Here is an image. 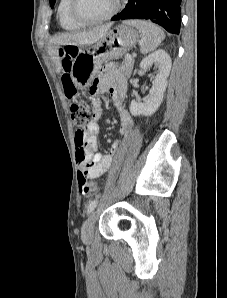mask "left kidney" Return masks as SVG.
<instances>
[{"label": "left kidney", "instance_id": "left-kidney-1", "mask_svg": "<svg viewBox=\"0 0 227 298\" xmlns=\"http://www.w3.org/2000/svg\"><path fill=\"white\" fill-rule=\"evenodd\" d=\"M171 64L170 56L163 49L151 53L141 61L140 68L142 70L154 65L158 72L152 82L153 85L147 98L143 102L131 101L130 112L132 115L150 116L156 112L163 101Z\"/></svg>", "mask_w": 227, "mask_h": 298}]
</instances>
